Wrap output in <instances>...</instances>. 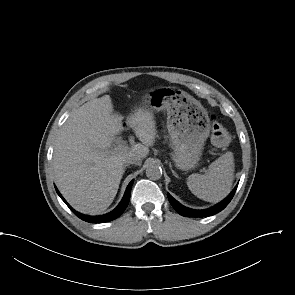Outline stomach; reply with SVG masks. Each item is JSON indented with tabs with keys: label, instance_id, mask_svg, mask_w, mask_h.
I'll use <instances>...</instances> for the list:
<instances>
[{
	"label": "stomach",
	"instance_id": "1",
	"mask_svg": "<svg viewBox=\"0 0 295 295\" xmlns=\"http://www.w3.org/2000/svg\"><path fill=\"white\" fill-rule=\"evenodd\" d=\"M142 112L167 111V129L171 137L174 162L181 170L194 169L210 133V119L202 104L175 87H160L145 96Z\"/></svg>",
	"mask_w": 295,
	"mask_h": 295
}]
</instances>
